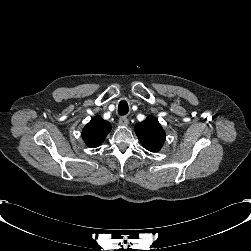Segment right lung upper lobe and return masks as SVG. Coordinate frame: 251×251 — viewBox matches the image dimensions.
I'll use <instances>...</instances> for the list:
<instances>
[{
    "label": "right lung upper lobe",
    "mask_w": 251,
    "mask_h": 251,
    "mask_svg": "<svg viewBox=\"0 0 251 251\" xmlns=\"http://www.w3.org/2000/svg\"><path fill=\"white\" fill-rule=\"evenodd\" d=\"M110 130L109 122L96 116L83 128L82 138L88 147L95 148L101 145Z\"/></svg>",
    "instance_id": "cb5924a9"
}]
</instances>
